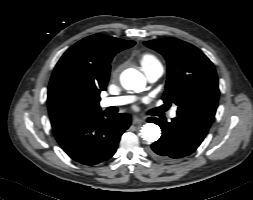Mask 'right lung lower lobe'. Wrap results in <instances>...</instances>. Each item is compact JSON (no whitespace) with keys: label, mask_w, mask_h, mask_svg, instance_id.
Wrapping results in <instances>:
<instances>
[{"label":"right lung lower lobe","mask_w":253,"mask_h":200,"mask_svg":"<svg viewBox=\"0 0 253 200\" xmlns=\"http://www.w3.org/2000/svg\"><path fill=\"white\" fill-rule=\"evenodd\" d=\"M128 114L97 113L53 128L62 149L75 161L94 165L114 155L119 140L130 126Z\"/></svg>","instance_id":"obj_1"}]
</instances>
